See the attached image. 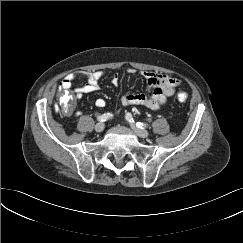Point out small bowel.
I'll return each instance as SVG.
<instances>
[{
  "mask_svg": "<svg viewBox=\"0 0 243 243\" xmlns=\"http://www.w3.org/2000/svg\"><path fill=\"white\" fill-rule=\"evenodd\" d=\"M102 71H80L76 74L66 76L60 83L63 90L67 91L72 88V83L77 77H83L87 83L83 86L74 89L75 99H81L84 94L98 91L100 89V80L103 77ZM146 84L147 92L143 94H124L119 98V103L122 106H142L149 109H158L166 103L167 98L172 96L175 89L180 85V81L168 74L143 72L142 73ZM114 86L120 83L119 76L115 74L112 78ZM95 105L103 108L106 102L102 98L95 101Z\"/></svg>",
  "mask_w": 243,
  "mask_h": 243,
  "instance_id": "1",
  "label": "small bowel"
}]
</instances>
